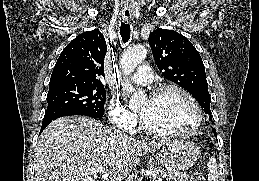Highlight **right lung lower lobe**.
Instances as JSON below:
<instances>
[{
	"label": "right lung lower lobe",
	"mask_w": 259,
	"mask_h": 181,
	"mask_svg": "<svg viewBox=\"0 0 259 181\" xmlns=\"http://www.w3.org/2000/svg\"><path fill=\"white\" fill-rule=\"evenodd\" d=\"M68 115H84V116H89V117H92V118H101V117H98V116H95V115H92V114H88V113H83V112H72V113H67L63 116H68ZM62 117V116H61ZM57 119V118H56ZM55 120V119H54ZM52 120L50 121H47V122H42V127H41V130H40V134L41 132L46 128V126L51 123Z\"/></svg>",
	"instance_id": "1"
}]
</instances>
